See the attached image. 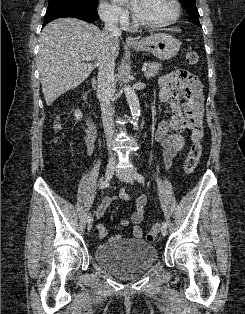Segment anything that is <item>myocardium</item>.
Segmentation results:
<instances>
[{"mask_svg": "<svg viewBox=\"0 0 245 314\" xmlns=\"http://www.w3.org/2000/svg\"><path fill=\"white\" fill-rule=\"evenodd\" d=\"M172 2L174 4L175 10H174V14L169 19L165 21H161V22H145V21L140 20L138 16L136 15V13H134L133 22L135 26L148 28V29H155V28L166 27L175 23L181 15V4L179 0H172Z\"/></svg>", "mask_w": 245, "mask_h": 314, "instance_id": "f54148a6", "label": "myocardium"}]
</instances>
